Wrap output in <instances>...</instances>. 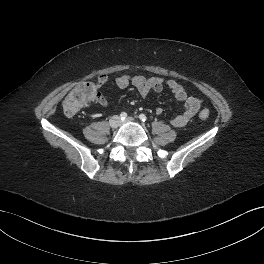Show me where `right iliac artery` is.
Instances as JSON below:
<instances>
[{
	"mask_svg": "<svg viewBox=\"0 0 264 264\" xmlns=\"http://www.w3.org/2000/svg\"><path fill=\"white\" fill-rule=\"evenodd\" d=\"M126 117H127V113H126V112H122V113L120 114V119H121V120L126 119Z\"/></svg>",
	"mask_w": 264,
	"mask_h": 264,
	"instance_id": "obj_1",
	"label": "right iliac artery"
}]
</instances>
